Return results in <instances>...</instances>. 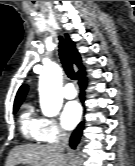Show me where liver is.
I'll use <instances>...</instances> for the list:
<instances>
[{
  "label": "liver",
  "instance_id": "1",
  "mask_svg": "<svg viewBox=\"0 0 135 166\" xmlns=\"http://www.w3.org/2000/svg\"><path fill=\"white\" fill-rule=\"evenodd\" d=\"M67 157L57 144H26L15 147L8 155L5 166H66Z\"/></svg>",
  "mask_w": 135,
  "mask_h": 166
}]
</instances>
